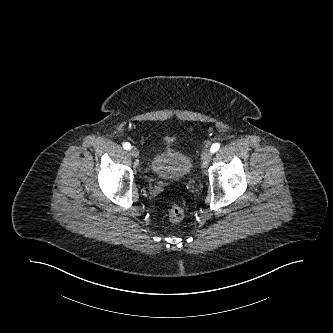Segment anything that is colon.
<instances>
[{
	"label": "colon",
	"instance_id": "colon-1",
	"mask_svg": "<svg viewBox=\"0 0 333 333\" xmlns=\"http://www.w3.org/2000/svg\"><path fill=\"white\" fill-rule=\"evenodd\" d=\"M184 217V210L179 205H172L168 210V218L172 222H178Z\"/></svg>",
	"mask_w": 333,
	"mask_h": 333
}]
</instances>
